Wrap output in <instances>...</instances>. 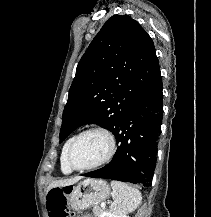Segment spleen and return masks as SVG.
I'll list each match as a JSON object with an SVG mask.
<instances>
[{
    "mask_svg": "<svg viewBox=\"0 0 211 217\" xmlns=\"http://www.w3.org/2000/svg\"><path fill=\"white\" fill-rule=\"evenodd\" d=\"M113 202L110 209L119 217L133 212L142 202L139 190L123 182L111 181Z\"/></svg>",
    "mask_w": 211,
    "mask_h": 217,
    "instance_id": "obj_1",
    "label": "spleen"
}]
</instances>
